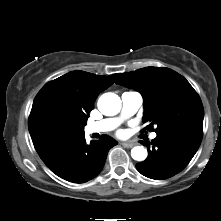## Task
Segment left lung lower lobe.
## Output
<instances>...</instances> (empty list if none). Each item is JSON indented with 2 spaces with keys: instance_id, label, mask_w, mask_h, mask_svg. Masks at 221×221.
<instances>
[{
  "instance_id": "left-lung-lower-lobe-1",
  "label": "left lung lower lobe",
  "mask_w": 221,
  "mask_h": 221,
  "mask_svg": "<svg viewBox=\"0 0 221 221\" xmlns=\"http://www.w3.org/2000/svg\"><path fill=\"white\" fill-rule=\"evenodd\" d=\"M201 140L202 129L199 128L181 127L159 133L152 140V147L148 146L147 159L137 163L136 168L151 179L170 178L188 165Z\"/></svg>"
}]
</instances>
